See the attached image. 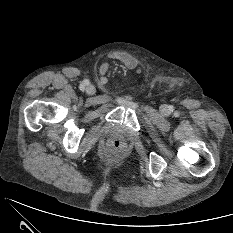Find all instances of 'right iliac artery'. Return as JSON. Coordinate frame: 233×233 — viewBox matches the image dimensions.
<instances>
[{
	"label": "right iliac artery",
	"instance_id": "82829eb1",
	"mask_svg": "<svg viewBox=\"0 0 233 233\" xmlns=\"http://www.w3.org/2000/svg\"><path fill=\"white\" fill-rule=\"evenodd\" d=\"M88 84H89V81H88V80H84V81L80 84L79 88H80L81 90H84L85 87L88 86Z\"/></svg>",
	"mask_w": 233,
	"mask_h": 233
}]
</instances>
